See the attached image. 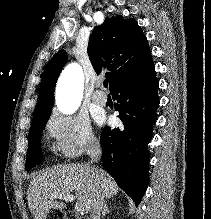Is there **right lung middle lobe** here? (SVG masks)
Segmentation results:
<instances>
[{
  "label": "right lung middle lobe",
  "instance_id": "1",
  "mask_svg": "<svg viewBox=\"0 0 211 219\" xmlns=\"http://www.w3.org/2000/svg\"><path fill=\"white\" fill-rule=\"evenodd\" d=\"M50 114L51 113H47L33 117L29 131V145L26 155L27 171L44 160L40 150V140L42 131L50 117Z\"/></svg>",
  "mask_w": 211,
  "mask_h": 219
}]
</instances>
